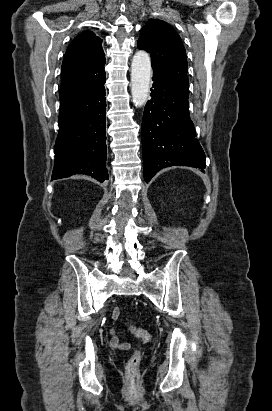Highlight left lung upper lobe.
Masks as SVG:
<instances>
[{
    "mask_svg": "<svg viewBox=\"0 0 272 411\" xmlns=\"http://www.w3.org/2000/svg\"><path fill=\"white\" fill-rule=\"evenodd\" d=\"M139 49L151 54L153 73L189 92L186 52L180 36L166 22L152 19L142 28Z\"/></svg>",
    "mask_w": 272,
    "mask_h": 411,
    "instance_id": "1",
    "label": "left lung upper lobe"
}]
</instances>
